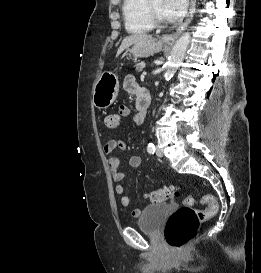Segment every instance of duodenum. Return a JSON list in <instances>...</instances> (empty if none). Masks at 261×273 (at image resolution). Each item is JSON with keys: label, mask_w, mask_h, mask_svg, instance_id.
Wrapping results in <instances>:
<instances>
[{"label": "duodenum", "mask_w": 261, "mask_h": 273, "mask_svg": "<svg viewBox=\"0 0 261 273\" xmlns=\"http://www.w3.org/2000/svg\"><path fill=\"white\" fill-rule=\"evenodd\" d=\"M151 97L146 91H142L140 96L136 100L137 113L134 121L136 124H142L146 118L147 110L150 106Z\"/></svg>", "instance_id": "1"}]
</instances>
